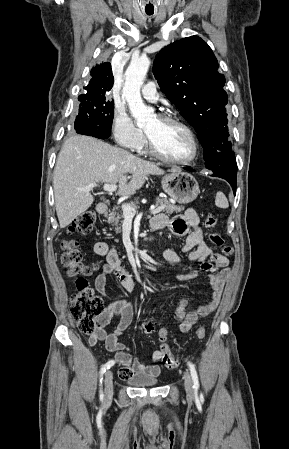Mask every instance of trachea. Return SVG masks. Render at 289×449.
Here are the masks:
<instances>
[{
  "mask_svg": "<svg viewBox=\"0 0 289 449\" xmlns=\"http://www.w3.org/2000/svg\"><path fill=\"white\" fill-rule=\"evenodd\" d=\"M152 13H147V15H151Z\"/></svg>",
  "mask_w": 289,
  "mask_h": 449,
  "instance_id": "3493384b",
  "label": "trachea"
}]
</instances>
